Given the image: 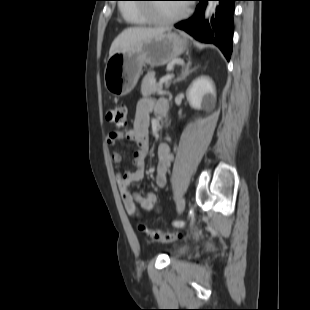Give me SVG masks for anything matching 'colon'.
<instances>
[{"label": "colon", "mask_w": 310, "mask_h": 310, "mask_svg": "<svg viewBox=\"0 0 310 310\" xmlns=\"http://www.w3.org/2000/svg\"><path fill=\"white\" fill-rule=\"evenodd\" d=\"M107 121L118 129H124L127 126V106L118 104L110 108L106 114ZM139 231L153 242H172L181 238L180 232H163L148 228L144 224L138 226Z\"/></svg>", "instance_id": "obj_1"}]
</instances>
